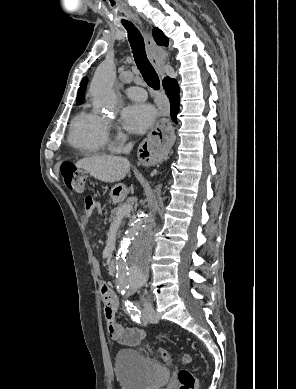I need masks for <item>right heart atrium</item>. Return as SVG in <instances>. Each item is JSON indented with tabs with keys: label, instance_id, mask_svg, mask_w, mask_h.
Here are the masks:
<instances>
[{
	"label": "right heart atrium",
	"instance_id": "d8ad5b80",
	"mask_svg": "<svg viewBox=\"0 0 296 389\" xmlns=\"http://www.w3.org/2000/svg\"><path fill=\"white\" fill-rule=\"evenodd\" d=\"M113 130V125L111 123H107V131L111 132Z\"/></svg>",
	"mask_w": 296,
	"mask_h": 389
}]
</instances>
